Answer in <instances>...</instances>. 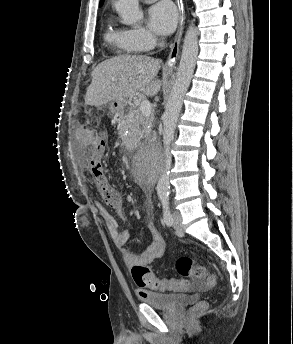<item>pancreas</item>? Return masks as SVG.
Wrapping results in <instances>:
<instances>
[{
  "mask_svg": "<svg viewBox=\"0 0 293 344\" xmlns=\"http://www.w3.org/2000/svg\"><path fill=\"white\" fill-rule=\"evenodd\" d=\"M153 120V114L145 117L142 115L139 109L133 107L129 115L127 126L131 129V131H139L141 128L144 132H146L147 130H150ZM145 136H147L146 133Z\"/></svg>",
  "mask_w": 293,
  "mask_h": 344,
  "instance_id": "1",
  "label": "pancreas"
}]
</instances>
